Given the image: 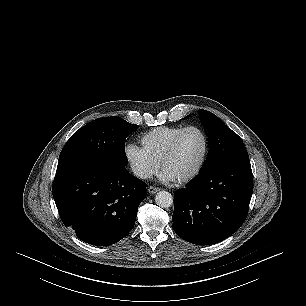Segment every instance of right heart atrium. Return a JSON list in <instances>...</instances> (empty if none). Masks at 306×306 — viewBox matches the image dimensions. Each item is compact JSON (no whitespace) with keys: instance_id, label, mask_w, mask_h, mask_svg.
Here are the masks:
<instances>
[{"instance_id":"d8ad5b80","label":"right heart atrium","mask_w":306,"mask_h":306,"mask_svg":"<svg viewBox=\"0 0 306 306\" xmlns=\"http://www.w3.org/2000/svg\"><path fill=\"white\" fill-rule=\"evenodd\" d=\"M124 154L132 173L139 179H149L159 168V162L143 147L134 143L125 147Z\"/></svg>"}]
</instances>
